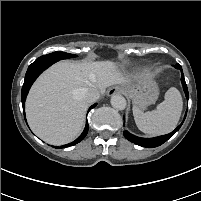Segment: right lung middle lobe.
<instances>
[{"label": "right lung middle lobe", "mask_w": 201, "mask_h": 201, "mask_svg": "<svg viewBox=\"0 0 201 201\" xmlns=\"http://www.w3.org/2000/svg\"><path fill=\"white\" fill-rule=\"evenodd\" d=\"M47 56L59 58V60L76 57V55L65 53V52H53V53L47 54Z\"/></svg>", "instance_id": "1"}]
</instances>
